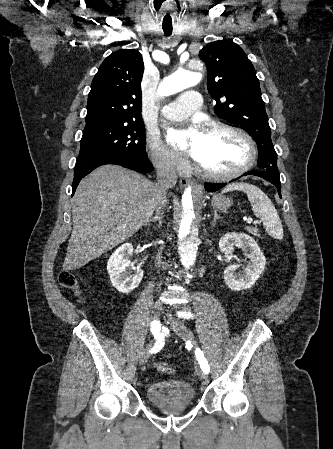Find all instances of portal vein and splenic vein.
<instances>
[{
    "label": "portal vein and splenic vein",
    "mask_w": 333,
    "mask_h": 449,
    "mask_svg": "<svg viewBox=\"0 0 333 449\" xmlns=\"http://www.w3.org/2000/svg\"><path fill=\"white\" fill-rule=\"evenodd\" d=\"M247 223H248V224H253L252 218H248V219H247Z\"/></svg>",
    "instance_id": "1"
}]
</instances>
